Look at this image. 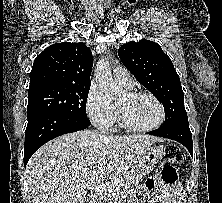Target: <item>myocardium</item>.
Instances as JSON below:
<instances>
[{"label":"myocardium","instance_id":"obj_1","mask_svg":"<svg viewBox=\"0 0 222 203\" xmlns=\"http://www.w3.org/2000/svg\"><path fill=\"white\" fill-rule=\"evenodd\" d=\"M125 95L128 98H136V97H141V96L149 97L158 106V108L160 110V118L155 124H153L151 126L139 127V126L134 125L128 119V117L126 116V114L122 110V108L119 105H117L118 116H119L120 123L122 124V126L127 128L128 130H131L134 132H150V131L156 130L164 123L165 118H166L165 108H164L163 104L161 103V101L155 95H153L150 92H145V91L126 92Z\"/></svg>","mask_w":222,"mask_h":203}]
</instances>
